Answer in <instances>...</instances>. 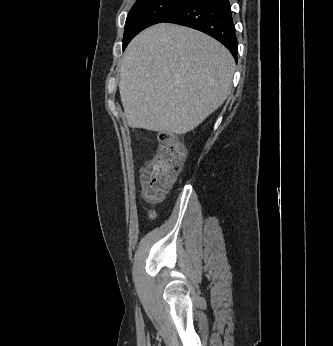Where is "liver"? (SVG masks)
<instances>
[{"label": "liver", "instance_id": "6515ba94", "mask_svg": "<svg viewBox=\"0 0 333 346\" xmlns=\"http://www.w3.org/2000/svg\"><path fill=\"white\" fill-rule=\"evenodd\" d=\"M235 62L212 37L161 23L128 45L119 92L128 125L185 134L201 124L228 97Z\"/></svg>", "mask_w": 333, "mask_h": 346}]
</instances>
